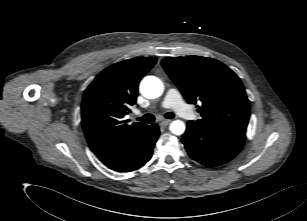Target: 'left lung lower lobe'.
Listing matches in <instances>:
<instances>
[{"label": "left lung lower lobe", "mask_w": 307, "mask_h": 221, "mask_svg": "<svg viewBox=\"0 0 307 221\" xmlns=\"http://www.w3.org/2000/svg\"><path fill=\"white\" fill-rule=\"evenodd\" d=\"M245 137V133L189 121L182 142L191 158L211 168L233 159L242 149Z\"/></svg>", "instance_id": "1"}]
</instances>
